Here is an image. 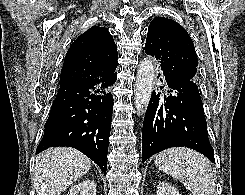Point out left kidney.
<instances>
[{"mask_svg":"<svg viewBox=\"0 0 245 195\" xmlns=\"http://www.w3.org/2000/svg\"><path fill=\"white\" fill-rule=\"evenodd\" d=\"M156 195H181L170 184L166 182H160L157 186Z\"/></svg>","mask_w":245,"mask_h":195,"instance_id":"obj_1","label":"left kidney"}]
</instances>
